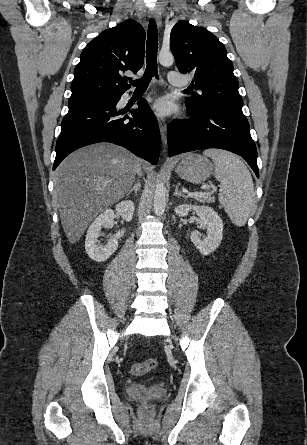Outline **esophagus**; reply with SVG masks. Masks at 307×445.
<instances>
[{
    "label": "esophagus",
    "mask_w": 307,
    "mask_h": 445,
    "mask_svg": "<svg viewBox=\"0 0 307 445\" xmlns=\"http://www.w3.org/2000/svg\"><path fill=\"white\" fill-rule=\"evenodd\" d=\"M153 19L156 23V25L158 26V28L161 27L162 25V19H161V14L160 12L156 9L153 12ZM158 123H159V129H160V134H161V138L163 141L164 146H166L167 144V124L164 118L162 117H158Z\"/></svg>",
    "instance_id": "esophagus-1"
}]
</instances>
